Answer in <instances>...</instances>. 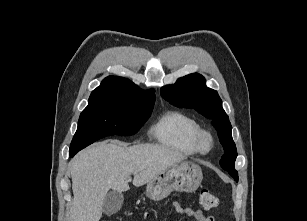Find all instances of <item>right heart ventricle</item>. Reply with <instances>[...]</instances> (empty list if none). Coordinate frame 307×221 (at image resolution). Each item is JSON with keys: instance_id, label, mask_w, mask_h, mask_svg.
I'll return each instance as SVG.
<instances>
[{"instance_id": "1", "label": "right heart ventricle", "mask_w": 307, "mask_h": 221, "mask_svg": "<svg viewBox=\"0 0 307 221\" xmlns=\"http://www.w3.org/2000/svg\"><path fill=\"white\" fill-rule=\"evenodd\" d=\"M201 129L199 123L191 116L170 111L164 114L151 128V134L162 146L184 155L198 153L194 137Z\"/></svg>"}]
</instances>
